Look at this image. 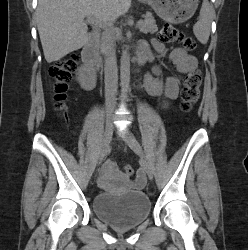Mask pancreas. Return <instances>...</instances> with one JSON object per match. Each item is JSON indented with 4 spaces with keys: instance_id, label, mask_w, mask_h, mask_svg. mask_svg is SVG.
Listing matches in <instances>:
<instances>
[{
    "instance_id": "cf45deb5",
    "label": "pancreas",
    "mask_w": 248,
    "mask_h": 250,
    "mask_svg": "<svg viewBox=\"0 0 248 250\" xmlns=\"http://www.w3.org/2000/svg\"><path fill=\"white\" fill-rule=\"evenodd\" d=\"M144 20L140 21V24L138 25V28L140 30V32L147 34V33H155L158 31V27L156 25V21L152 15V13L147 12L144 16H143ZM120 34V30L116 29V28H111L110 30H108L104 36V38L102 39V43H101V49L102 51H105L106 46H107V42L110 41L111 39H115L119 36Z\"/></svg>"
}]
</instances>
